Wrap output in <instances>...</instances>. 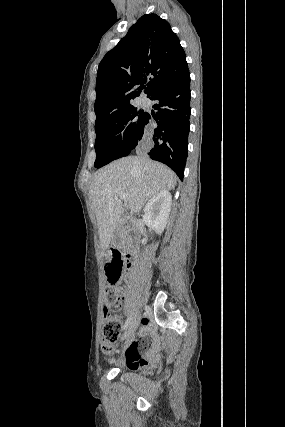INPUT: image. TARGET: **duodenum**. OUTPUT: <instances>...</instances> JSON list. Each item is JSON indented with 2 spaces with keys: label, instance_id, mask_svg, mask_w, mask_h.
<instances>
[{
  "label": "duodenum",
  "instance_id": "1",
  "mask_svg": "<svg viewBox=\"0 0 285 427\" xmlns=\"http://www.w3.org/2000/svg\"><path fill=\"white\" fill-rule=\"evenodd\" d=\"M121 226L123 227L125 232L124 247L121 250V253L124 256V258L129 261L134 256V253H135V240L132 236L135 224L134 222L127 220L121 223ZM119 252H120L119 250L115 251V253H119Z\"/></svg>",
  "mask_w": 285,
  "mask_h": 427
}]
</instances>
